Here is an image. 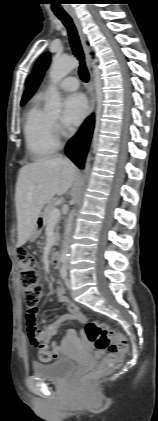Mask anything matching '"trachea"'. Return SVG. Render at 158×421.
I'll return each instance as SVG.
<instances>
[{
	"mask_svg": "<svg viewBox=\"0 0 158 421\" xmlns=\"http://www.w3.org/2000/svg\"><path fill=\"white\" fill-rule=\"evenodd\" d=\"M55 15L62 21L68 31L69 41L73 50L74 55L80 61L79 67V76L82 81L88 82L89 81V73L87 71L85 61H84V54L82 51V47L80 44L79 36L76 30V27L71 19V17L67 13H55Z\"/></svg>",
	"mask_w": 158,
	"mask_h": 421,
	"instance_id": "3493384b",
	"label": "trachea"
}]
</instances>
